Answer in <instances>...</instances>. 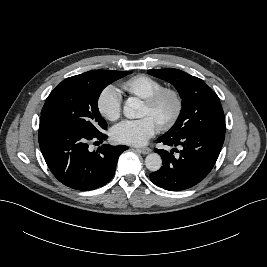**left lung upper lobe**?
Returning <instances> with one entry per match:
<instances>
[{
  "label": "left lung upper lobe",
  "mask_w": 267,
  "mask_h": 267,
  "mask_svg": "<svg viewBox=\"0 0 267 267\" xmlns=\"http://www.w3.org/2000/svg\"><path fill=\"white\" fill-rule=\"evenodd\" d=\"M178 90L182 109L175 125L163 136L180 138L195 132L225 131V117L216 93L201 79L178 69L148 70Z\"/></svg>",
  "instance_id": "left-lung-upper-lobe-1"
}]
</instances>
